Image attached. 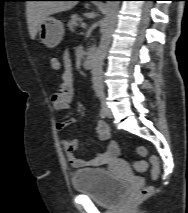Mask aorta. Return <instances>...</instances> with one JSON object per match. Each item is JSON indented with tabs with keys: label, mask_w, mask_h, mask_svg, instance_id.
Wrapping results in <instances>:
<instances>
[{
	"label": "aorta",
	"mask_w": 188,
	"mask_h": 213,
	"mask_svg": "<svg viewBox=\"0 0 188 213\" xmlns=\"http://www.w3.org/2000/svg\"><path fill=\"white\" fill-rule=\"evenodd\" d=\"M119 5L120 1H107L106 3L103 33L93 61L92 83L99 97L104 95L103 65L116 26Z\"/></svg>",
	"instance_id": "obj_1"
}]
</instances>
